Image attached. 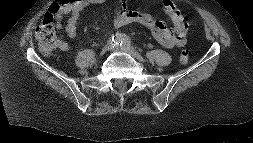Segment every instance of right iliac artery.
Returning a JSON list of instances; mask_svg holds the SVG:
<instances>
[{
    "label": "right iliac artery",
    "mask_w": 253,
    "mask_h": 143,
    "mask_svg": "<svg viewBox=\"0 0 253 143\" xmlns=\"http://www.w3.org/2000/svg\"><path fill=\"white\" fill-rule=\"evenodd\" d=\"M123 35L122 34H116L114 35L111 40L109 41V44L113 47L119 46L123 40Z\"/></svg>",
    "instance_id": "obj_1"
}]
</instances>
